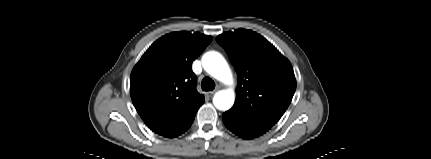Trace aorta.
Listing matches in <instances>:
<instances>
[{"mask_svg": "<svg viewBox=\"0 0 431 159\" xmlns=\"http://www.w3.org/2000/svg\"><path fill=\"white\" fill-rule=\"evenodd\" d=\"M202 66L204 70L215 79L231 84L233 77L228 63L224 57L215 51L207 52L202 57ZM235 101V93L232 89L218 91L214 98L213 104L218 110H229Z\"/></svg>", "mask_w": 431, "mask_h": 159, "instance_id": "obj_1", "label": "aorta"}]
</instances>
